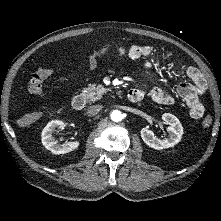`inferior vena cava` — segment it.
<instances>
[{"label": "inferior vena cava", "instance_id": "obj_1", "mask_svg": "<svg viewBox=\"0 0 221 221\" xmlns=\"http://www.w3.org/2000/svg\"><path fill=\"white\" fill-rule=\"evenodd\" d=\"M102 109L101 105H92L87 109L88 116H95Z\"/></svg>", "mask_w": 221, "mask_h": 221}]
</instances>
